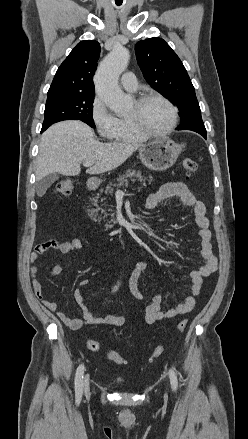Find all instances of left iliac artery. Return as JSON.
Instances as JSON below:
<instances>
[{"label":"left iliac artery","instance_id":"1","mask_svg":"<svg viewBox=\"0 0 248 439\" xmlns=\"http://www.w3.org/2000/svg\"><path fill=\"white\" fill-rule=\"evenodd\" d=\"M169 375H170V382H171L172 388L174 390H176L178 387V380H177L176 373L174 372L173 369H170Z\"/></svg>","mask_w":248,"mask_h":439}]
</instances>
